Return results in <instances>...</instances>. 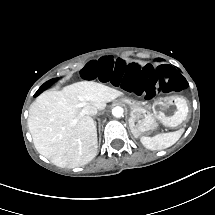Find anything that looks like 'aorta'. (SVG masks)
Masks as SVG:
<instances>
[{
    "label": "aorta",
    "instance_id": "762f6f07",
    "mask_svg": "<svg viewBox=\"0 0 215 215\" xmlns=\"http://www.w3.org/2000/svg\"><path fill=\"white\" fill-rule=\"evenodd\" d=\"M123 108L121 106H115L112 108V115L115 117H121L123 115Z\"/></svg>",
    "mask_w": 215,
    "mask_h": 215
}]
</instances>
